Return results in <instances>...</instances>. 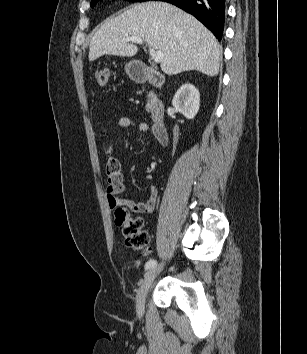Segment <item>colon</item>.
<instances>
[{"instance_id": "colon-1", "label": "colon", "mask_w": 307, "mask_h": 354, "mask_svg": "<svg viewBox=\"0 0 307 354\" xmlns=\"http://www.w3.org/2000/svg\"><path fill=\"white\" fill-rule=\"evenodd\" d=\"M94 77L99 86H105L108 83L109 71L106 68H98L94 72ZM114 209L115 223L122 230L126 246L144 255L150 254L152 250L150 238L143 229V220L133 217L132 210L125 205H118Z\"/></svg>"}]
</instances>
